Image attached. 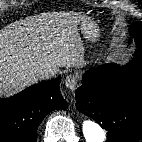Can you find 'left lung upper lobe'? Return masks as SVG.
<instances>
[{
  "mask_svg": "<svg viewBox=\"0 0 142 142\" xmlns=\"http://www.w3.org/2000/svg\"><path fill=\"white\" fill-rule=\"evenodd\" d=\"M130 36L134 39L137 45V54H142V23L137 21L132 24L130 29Z\"/></svg>",
  "mask_w": 142,
  "mask_h": 142,
  "instance_id": "1",
  "label": "left lung upper lobe"
}]
</instances>
